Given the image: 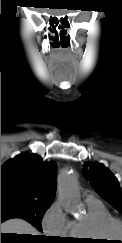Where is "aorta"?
<instances>
[{"label":"aorta","mask_w":122,"mask_h":243,"mask_svg":"<svg viewBox=\"0 0 122 243\" xmlns=\"http://www.w3.org/2000/svg\"><path fill=\"white\" fill-rule=\"evenodd\" d=\"M58 194L66 212L75 215L80 211L77 179L71 171L63 170L58 175Z\"/></svg>","instance_id":"aorta-1"}]
</instances>
